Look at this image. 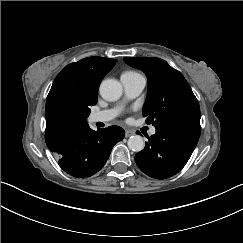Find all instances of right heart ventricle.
Returning <instances> with one entry per match:
<instances>
[{"label":"right heart ventricle","instance_id":"obj_1","mask_svg":"<svg viewBox=\"0 0 243 243\" xmlns=\"http://www.w3.org/2000/svg\"><path fill=\"white\" fill-rule=\"evenodd\" d=\"M141 76L140 73L134 70H127L121 74V80H136Z\"/></svg>","mask_w":243,"mask_h":243}]
</instances>
